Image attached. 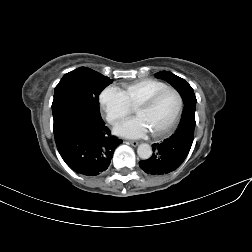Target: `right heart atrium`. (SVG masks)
<instances>
[{
	"mask_svg": "<svg viewBox=\"0 0 252 252\" xmlns=\"http://www.w3.org/2000/svg\"><path fill=\"white\" fill-rule=\"evenodd\" d=\"M99 102L108 122L113 125L121 122L131 112V106L126 97L114 87L105 88L99 96Z\"/></svg>",
	"mask_w": 252,
	"mask_h": 252,
	"instance_id": "1",
	"label": "right heart atrium"
}]
</instances>
